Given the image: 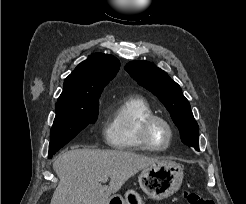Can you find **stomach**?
I'll return each mask as SVG.
<instances>
[{"mask_svg":"<svg viewBox=\"0 0 246 204\" xmlns=\"http://www.w3.org/2000/svg\"><path fill=\"white\" fill-rule=\"evenodd\" d=\"M183 167L173 161H158L144 168L138 176L140 188L151 199L161 200L179 190L183 180ZM141 197L133 190L125 196L114 194L105 204H140Z\"/></svg>","mask_w":246,"mask_h":204,"instance_id":"0dacf381","label":"stomach"}]
</instances>
